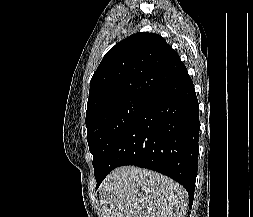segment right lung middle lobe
Listing matches in <instances>:
<instances>
[{
    "instance_id": "1",
    "label": "right lung middle lobe",
    "mask_w": 253,
    "mask_h": 217,
    "mask_svg": "<svg viewBox=\"0 0 253 217\" xmlns=\"http://www.w3.org/2000/svg\"><path fill=\"white\" fill-rule=\"evenodd\" d=\"M148 98L129 97L104 106L86 119L87 141L95 178L105 173L106 160L117 140L147 104Z\"/></svg>"
}]
</instances>
